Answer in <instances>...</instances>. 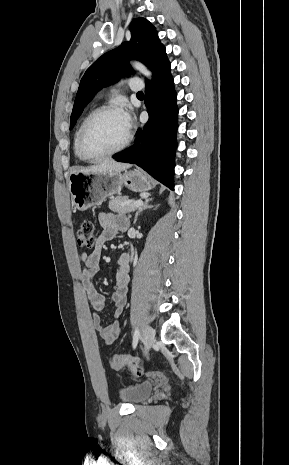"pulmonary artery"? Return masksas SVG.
I'll list each match as a JSON object with an SVG mask.
<instances>
[{
  "label": "pulmonary artery",
  "instance_id": "pulmonary-artery-1",
  "mask_svg": "<svg viewBox=\"0 0 289 465\" xmlns=\"http://www.w3.org/2000/svg\"><path fill=\"white\" fill-rule=\"evenodd\" d=\"M126 82H127L128 87L132 91H136V92L141 91L143 87L141 80L137 77H131Z\"/></svg>",
  "mask_w": 289,
  "mask_h": 465
}]
</instances>
